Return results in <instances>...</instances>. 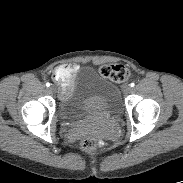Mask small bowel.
Here are the masks:
<instances>
[{
  "instance_id": "c3829d8e",
  "label": "small bowel",
  "mask_w": 183,
  "mask_h": 183,
  "mask_svg": "<svg viewBox=\"0 0 183 183\" xmlns=\"http://www.w3.org/2000/svg\"><path fill=\"white\" fill-rule=\"evenodd\" d=\"M57 71H62V72H66V71H69L72 73V80L75 76V74L78 72V66L76 64H66V65H63L61 66ZM72 88V81L67 84V85H64L62 88H61V93L63 95H66L70 92Z\"/></svg>"
}]
</instances>
